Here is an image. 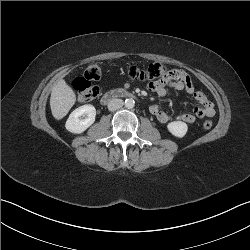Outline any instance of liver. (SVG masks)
Here are the masks:
<instances>
[{"mask_svg": "<svg viewBox=\"0 0 250 250\" xmlns=\"http://www.w3.org/2000/svg\"><path fill=\"white\" fill-rule=\"evenodd\" d=\"M76 95L64 79L59 80L53 87L50 97V108L55 119L64 118L75 104Z\"/></svg>", "mask_w": 250, "mask_h": 250, "instance_id": "1", "label": "liver"}]
</instances>
